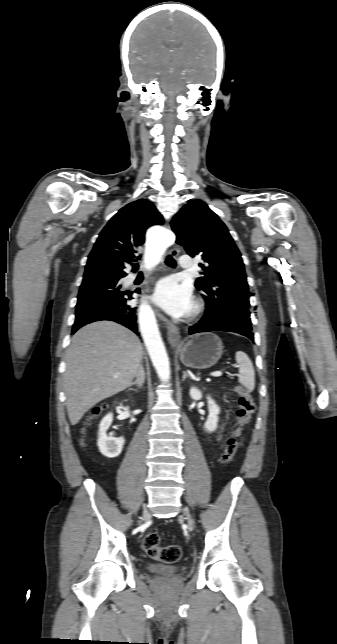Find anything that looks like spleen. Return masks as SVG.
Segmentation results:
<instances>
[{"label": "spleen", "mask_w": 337, "mask_h": 644, "mask_svg": "<svg viewBox=\"0 0 337 644\" xmlns=\"http://www.w3.org/2000/svg\"><path fill=\"white\" fill-rule=\"evenodd\" d=\"M236 362L239 367V383L252 392L255 388V372L253 364L246 353L238 351L236 353Z\"/></svg>", "instance_id": "obj_1"}]
</instances>
